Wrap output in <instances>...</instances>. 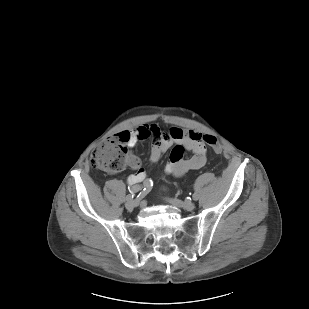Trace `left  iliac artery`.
<instances>
[{
    "label": "left iliac artery",
    "mask_w": 309,
    "mask_h": 309,
    "mask_svg": "<svg viewBox=\"0 0 309 309\" xmlns=\"http://www.w3.org/2000/svg\"><path fill=\"white\" fill-rule=\"evenodd\" d=\"M192 198H193V200H197L198 199V195L197 194H193Z\"/></svg>",
    "instance_id": "left-iliac-artery-1"
}]
</instances>
